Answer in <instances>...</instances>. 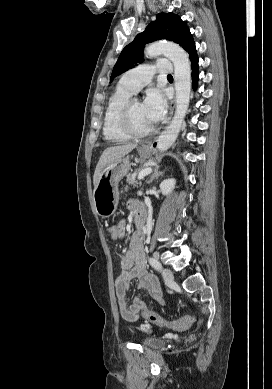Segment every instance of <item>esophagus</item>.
<instances>
[{"label": "esophagus", "instance_id": "esophagus-1", "mask_svg": "<svg viewBox=\"0 0 272 389\" xmlns=\"http://www.w3.org/2000/svg\"><path fill=\"white\" fill-rule=\"evenodd\" d=\"M174 107H175V99H173L170 103V112H169V118L167 120V123H169L172 115H173V112H174Z\"/></svg>", "mask_w": 272, "mask_h": 389}]
</instances>
